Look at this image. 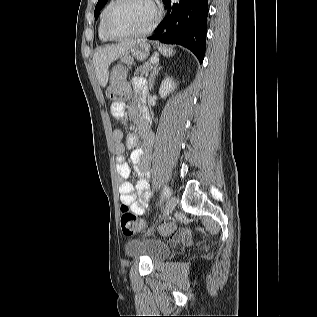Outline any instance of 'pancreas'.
<instances>
[{
  "mask_svg": "<svg viewBox=\"0 0 317 317\" xmlns=\"http://www.w3.org/2000/svg\"><path fill=\"white\" fill-rule=\"evenodd\" d=\"M154 68V64L151 61H144L142 66L137 68L135 74H139L141 76H148L149 72Z\"/></svg>",
  "mask_w": 317,
  "mask_h": 317,
  "instance_id": "1",
  "label": "pancreas"
}]
</instances>
